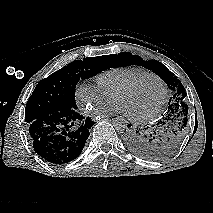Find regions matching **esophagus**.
Wrapping results in <instances>:
<instances>
[{
    "instance_id": "34e87169",
    "label": "esophagus",
    "mask_w": 213,
    "mask_h": 213,
    "mask_svg": "<svg viewBox=\"0 0 213 213\" xmlns=\"http://www.w3.org/2000/svg\"><path fill=\"white\" fill-rule=\"evenodd\" d=\"M98 117L102 118V119H115V118H117L116 115H100Z\"/></svg>"
}]
</instances>
